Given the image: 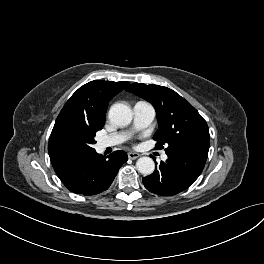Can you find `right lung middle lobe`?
<instances>
[{"label":"right lung middle lobe","mask_w":264,"mask_h":264,"mask_svg":"<svg viewBox=\"0 0 264 264\" xmlns=\"http://www.w3.org/2000/svg\"><path fill=\"white\" fill-rule=\"evenodd\" d=\"M97 131L82 125L65 126L53 143L56 158L62 161L94 152L92 145L96 143L94 137Z\"/></svg>","instance_id":"dd1d6c3e"}]
</instances>
